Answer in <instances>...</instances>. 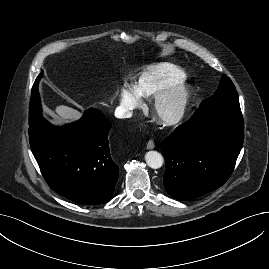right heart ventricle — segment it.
<instances>
[{
  "label": "right heart ventricle",
  "instance_id": "1",
  "mask_svg": "<svg viewBox=\"0 0 269 269\" xmlns=\"http://www.w3.org/2000/svg\"><path fill=\"white\" fill-rule=\"evenodd\" d=\"M185 79V73L179 68L170 64H158L149 67L133 89L138 96L148 98L183 83Z\"/></svg>",
  "mask_w": 269,
  "mask_h": 269
}]
</instances>
